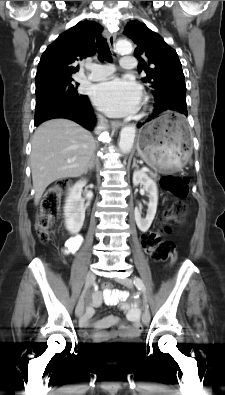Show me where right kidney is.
<instances>
[{
    "instance_id": "ca27d5eb",
    "label": "right kidney",
    "mask_w": 225,
    "mask_h": 395,
    "mask_svg": "<svg viewBox=\"0 0 225 395\" xmlns=\"http://www.w3.org/2000/svg\"><path fill=\"white\" fill-rule=\"evenodd\" d=\"M85 184V180L75 184L70 189V192L65 201V225L72 234H76L80 231L85 219L84 200L81 197L82 187Z\"/></svg>"
}]
</instances>
